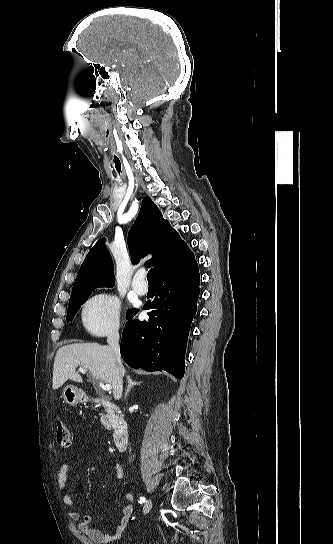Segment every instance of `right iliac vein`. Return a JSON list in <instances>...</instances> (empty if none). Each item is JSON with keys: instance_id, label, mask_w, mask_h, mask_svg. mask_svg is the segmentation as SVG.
<instances>
[{"instance_id": "63e3f726", "label": "right iliac vein", "mask_w": 333, "mask_h": 544, "mask_svg": "<svg viewBox=\"0 0 333 544\" xmlns=\"http://www.w3.org/2000/svg\"><path fill=\"white\" fill-rule=\"evenodd\" d=\"M152 508V500L149 499L146 501L144 508H143V514L146 515Z\"/></svg>"}]
</instances>
